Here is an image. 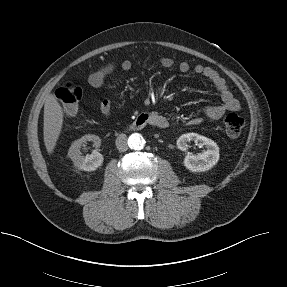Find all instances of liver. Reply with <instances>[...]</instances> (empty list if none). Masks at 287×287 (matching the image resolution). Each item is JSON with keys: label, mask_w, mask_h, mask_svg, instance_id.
Segmentation results:
<instances>
[{"label": "liver", "mask_w": 287, "mask_h": 287, "mask_svg": "<svg viewBox=\"0 0 287 287\" xmlns=\"http://www.w3.org/2000/svg\"><path fill=\"white\" fill-rule=\"evenodd\" d=\"M63 109L54 94L46 96L44 104V143L48 154H52L63 125Z\"/></svg>", "instance_id": "1"}]
</instances>
